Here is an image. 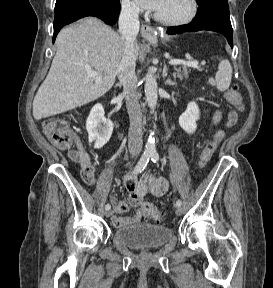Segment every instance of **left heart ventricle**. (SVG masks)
I'll return each mask as SVG.
<instances>
[{
	"label": "left heart ventricle",
	"mask_w": 273,
	"mask_h": 288,
	"mask_svg": "<svg viewBox=\"0 0 273 288\" xmlns=\"http://www.w3.org/2000/svg\"><path fill=\"white\" fill-rule=\"evenodd\" d=\"M190 10V0H163L156 13L166 19H179L186 16Z\"/></svg>",
	"instance_id": "1"
}]
</instances>
